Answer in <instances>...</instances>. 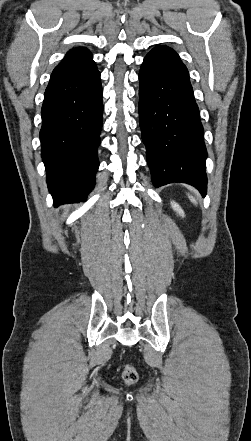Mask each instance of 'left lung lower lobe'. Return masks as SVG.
<instances>
[{
  "mask_svg": "<svg viewBox=\"0 0 251 441\" xmlns=\"http://www.w3.org/2000/svg\"><path fill=\"white\" fill-rule=\"evenodd\" d=\"M139 80V123L154 186L183 182L204 196L207 151L186 66L173 49L157 46Z\"/></svg>",
  "mask_w": 251,
  "mask_h": 441,
  "instance_id": "obj_1",
  "label": "left lung lower lobe"
}]
</instances>
